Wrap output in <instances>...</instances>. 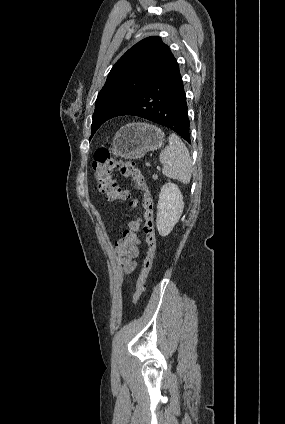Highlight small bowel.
I'll return each instance as SVG.
<instances>
[{
  "mask_svg": "<svg viewBox=\"0 0 285 424\" xmlns=\"http://www.w3.org/2000/svg\"><path fill=\"white\" fill-rule=\"evenodd\" d=\"M130 225H131V223L129 224V226ZM138 254H139V249H138V246H137L136 253H135V256L133 258L137 257ZM133 258H131L129 260L122 259L123 271H124V274H126V275H130L131 273H133L135 271L136 267H137V263L133 260Z\"/></svg>",
  "mask_w": 285,
  "mask_h": 424,
  "instance_id": "small-bowel-1",
  "label": "small bowel"
}]
</instances>
